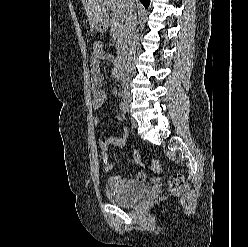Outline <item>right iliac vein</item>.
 <instances>
[{
  "label": "right iliac vein",
  "instance_id": "63e3f726",
  "mask_svg": "<svg viewBox=\"0 0 248 247\" xmlns=\"http://www.w3.org/2000/svg\"><path fill=\"white\" fill-rule=\"evenodd\" d=\"M123 101L127 107H130L131 98L129 96H124Z\"/></svg>",
  "mask_w": 248,
  "mask_h": 247
}]
</instances>
